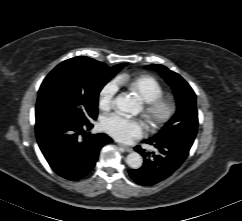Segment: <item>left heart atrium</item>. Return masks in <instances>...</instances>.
I'll list each match as a JSON object with an SVG mask.
<instances>
[{"label":"left heart atrium","instance_id":"left-heart-atrium-1","mask_svg":"<svg viewBox=\"0 0 242 221\" xmlns=\"http://www.w3.org/2000/svg\"><path fill=\"white\" fill-rule=\"evenodd\" d=\"M101 126L106 133L121 142H130L135 138H140L145 129L141 121L119 113L104 117Z\"/></svg>","mask_w":242,"mask_h":221}]
</instances>
